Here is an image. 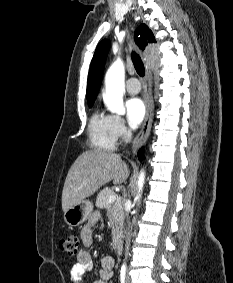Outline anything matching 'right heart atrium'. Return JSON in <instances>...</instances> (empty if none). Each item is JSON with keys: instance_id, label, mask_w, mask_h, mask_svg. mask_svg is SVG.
<instances>
[{"instance_id": "1", "label": "right heart atrium", "mask_w": 233, "mask_h": 283, "mask_svg": "<svg viewBox=\"0 0 233 283\" xmlns=\"http://www.w3.org/2000/svg\"><path fill=\"white\" fill-rule=\"evenodd\" d=\"M114 130L117 139H126L129 136V130L126 127L122 118L113 116Z\"/></svg>"}]
</instances>
